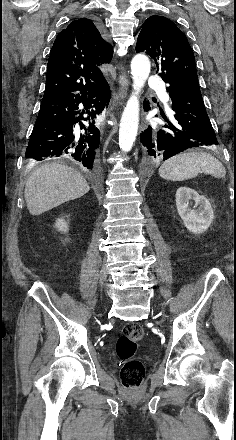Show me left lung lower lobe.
<instances>
[{"instance_id": "0a47b994", "label": "left lung lower lobe", "mask_w": 236, "mask_h": 440, "mask_svg": "<svg viewBox=\"0 0 236 440\" xmlns=\"http://www.w3.org/2000/svg\"><path fill=\"white\" fill-rule=\"evenodd\" d=\"M175 112L171 122L160 128L148 126L140 134L146 155L164 160L192 147L217 145L198 82H183L168 91ZM148 102L144 110L149 111Z\"/></svg>"}]
</instances>
